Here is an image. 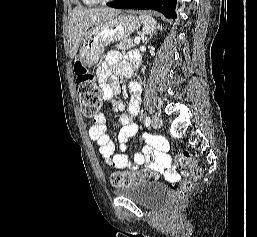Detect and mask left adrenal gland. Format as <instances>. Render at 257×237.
I'll return each instance as SVG.
<instances>
[{"label": "left adrenal gland", "mask_w": 257, "mask_h": 237, "mask_svg": "<svg viewBox=\"0 0 257 237\" xmlns=\"http://www.w3.org/2000/svg\"><path fill=\"white\" fill-rule=\"evenodd\" d=\"M161 28H162V26H160V25L156 26V29H158V30L161 29ZM151 37H152V35H150L149 38H147V37L144 38V37H143V38H142V42H143V43H147V42L149 41V39H151Z\"/></svg>", "instance_id": "1"}]
</instances>
